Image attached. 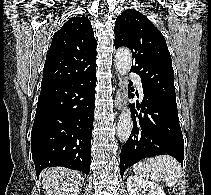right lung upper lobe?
<instances>
[{"label":"right lung upper lobe","mask_w":211,"mask_h":195,"mask_svg":"<svg viewBox=\"0 0 211 195\" xmlns=\"http://www.w3.org/2000/svg\"><path fill=\"white\" fill-rule=\"evenodd\" d=\"M97 41L85 16L71 17L52 39L41 86L87 73L96 65Z\"/></svg>","instance_id":"obj_1"}]
</instances>
